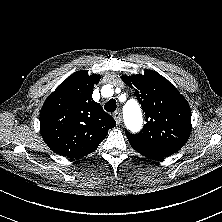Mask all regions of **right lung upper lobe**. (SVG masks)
<instances>
[{"mask_svg": "<svg viewBox=\"0 0 222 222\" xmlns=\"http://www.w3.org/2000/svg\"><path fill=\"white\" fill-rule=\"evenodd\" d=\"M100 76L81 70L70 75L46 99L40 131L56 154L79 158L95 151L115 120L92 98Z\"/></svg>", "mask_w": 222, "mask_h": 222, "instance_id": "obj_1", "label": "right lung upper lobe"}]
</instances>
